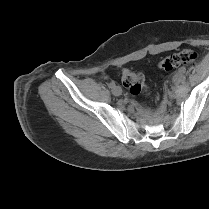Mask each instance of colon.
Returning <instances> with one entry per match:
<instances>
[{"instance_id":"5ec220e1","label":"colon","mask_w":209,"mask_h":209,"mask_svg":"<svg viewBox=\"0 0 209 209\" xmlns=\"http://www.w3.org/2000/svg\"><path fill=\"white\" fill-rule=\"evenodd\" d=\"M196 55L192 50L184 49L180 52L173 53L159 62V67L163 70L169 71L180 65L192 63ZM121 81L125 88L132 95H140L147 90L146 80L143 74L134 72L130 69H123L121 74Z\"/></svg>"}]
</instances>
